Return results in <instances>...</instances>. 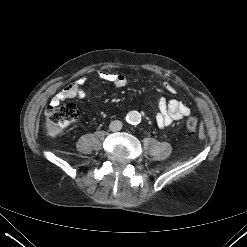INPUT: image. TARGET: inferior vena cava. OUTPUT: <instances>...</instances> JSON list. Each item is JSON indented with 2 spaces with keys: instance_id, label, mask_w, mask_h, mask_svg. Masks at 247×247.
<instances>
[{
  "instance_id": "1",
  "label": "inferior vena cava",
  "mask_w": 247,
  "mask_h": 247,
  "mask_svg": "<svg viewBox=\"0 0 247 247\" xmlns=\"http://www.w3.org/2000/svg\"><path fill=\"white\" fill-rule=\"evenodd\" d=\"M122 122L119 120H114L110 123L109 128L113 132H117L122 129Z\"/></svg>"
}]
</instances>
